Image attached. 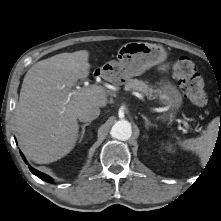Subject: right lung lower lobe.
<instances>
[{"label":"right lung lower lobe","instance_id":"98d812e1","mask_svg":"<svg viewBox=\"0 0 221 221\" xmlns=\"http://www.w3.org/2000/svg\"><path fill=\"white\" fill-rule=\"evenodd\" d=\"M21 156H22V158L24 159V161L26 162V160H25V158H24V156H23L22 153H21ZM26 163H27V162H26ZM29 169H30V171H31L34 175H36V176L39 177L40 179H42V180H44V181H46V182H49V183L52 182V178L49 177L48 175H46V174H44V173H42V172H40V171H38V170L32 168L31 166H29Z\"/></svg>","mask_w":221,"mask_h":221}]
</instances>
